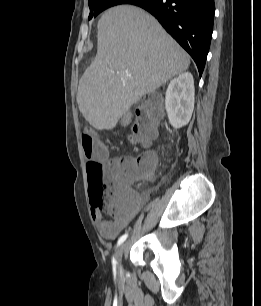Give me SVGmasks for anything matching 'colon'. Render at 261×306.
<instances>
[{
	"label": "colon",
	"instance_id": "1",
	"mask_svg": "<svg viewBox=\"0 0 261 306\" xmlns=\"http://www.w3.org/2000/svg\"><path fill=\"white\" fill-rule=\"evenodd\" d=\"M159 97L139 104L134 111V120L130 128L129 138L133 142L148 144L156 136V126L160 116ZM82 151L87 160L86 169L91 196L100 200L101 207L110 211L116 202L130 195L129 188L119 182L127 173L133 176H147L151 173L149 160L141 157L136 160L135 167L125 171L119 164L102 162L105 148L99 145L90 129L81 133Z\"/></svg>",
	"mask_w": 261,
	"mask_h": 306
}]
</instances>
